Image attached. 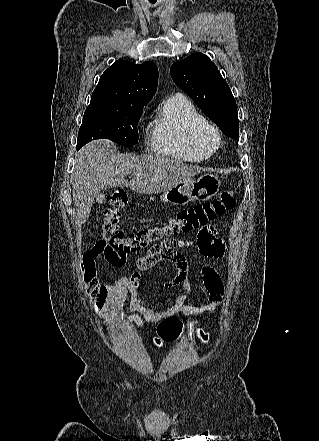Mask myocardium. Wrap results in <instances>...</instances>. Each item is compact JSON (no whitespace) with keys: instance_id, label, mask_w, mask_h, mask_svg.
<instances>
[{"instance_id":"1","label":"myocardium","mask_w":319,"mask_h":441,"mask_svg":"<svg viewBox=\"0 0 319 441\" xmlns=\"http://www.w3.org/2000/svg\"><path fill=\"white\" fill-rule=\"evenodd\" d=\"M202 137H203L204 142L214 149H217L219 147L221 140H222V135H221L220 131L212 125H210L203 132Z\"/></svg>"}]
</instances>
